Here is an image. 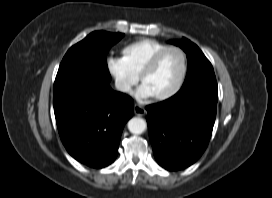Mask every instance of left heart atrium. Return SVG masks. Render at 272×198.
I'll return each instance as SVG.
<instances>
[{
    "label": "left heart atrium",
    "instance_id": "1",
    "mask_svg": "<svg viewBox=\"0 0 272 198\" xmlns=\"http://www.w3.org/2000/svg\"><path fill=\"white\" fill-rule=\"evenodd\" d=\"M136 95H137V97H139L141 99H147V98L152 97L144 85H141L138 88V90L136 91Z\"/></svg>",
    "mask_w": 272,
    "mask_h": 198
}]
</instances>
